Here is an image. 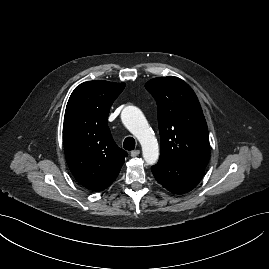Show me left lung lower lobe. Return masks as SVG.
<instances>
[{"mask_svg":"<svg viewBox=\"0 0 269 269\" xmlns=\"http://www.w3.org/2000/svg\"><path fill=\"white\" fill-rule=\"evenodd\" d=\"M151 170L156 181L174 194H184L194 189L205 172L203 167L163 158Z\"/></svg>","mask_w":269,"mask_h":269,"instance_id":"obj_1","label":"left lung lower lobe"}]
</instances>
